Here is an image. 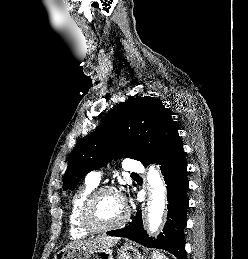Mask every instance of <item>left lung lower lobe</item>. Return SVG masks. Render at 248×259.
Listing matches in <instances>:
<instances>
[{"instance_id":"obj_1","label":"left lung lower lobe","mask_w":248,"mask_h":259,"mask_svg":"<svg viewBox=\"0 0 248 259\" xmlns=\"http://www.w3.org/2000/svg\"><path fill=\"white\" fill-rule=\"evenodd\" d=\"M160 164V169L167 184L168 217L161 233L156 240L148 238L142 227V215L138 212L133 222L124 229L113 230L110 236L126 237L148 248H158L169 251L178 259H186L184 228L187 224L188 209L187 192V162L181 139L169 149L160 153L154 160Z\"/></svg>"}]
</instances>
